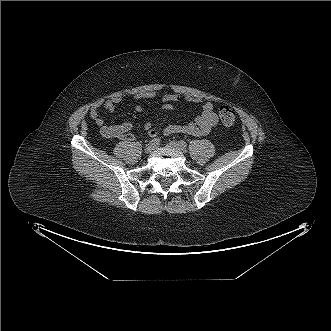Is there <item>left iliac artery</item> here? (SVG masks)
Masks as SVG:
<instances>
[{"mask_svg":"<svg viewBox=\"0 0 331 331\" xmlns=\"http://www.w3.org/2000/svg\"><path fill=\"white\" fill-rule=\"evenodd\" d=\"M178 144L182 147V148H186L187 147V143L183 140L179 141Z\"/></svg>","mask_w":331,"mask_h":331,"instance_id":"44dca946","label":"left iliac artery"}]
</instances>
